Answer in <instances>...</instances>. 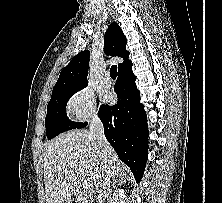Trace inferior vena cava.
<instances>
[{
	"label": "inferior vena cava",
	"instance_id": "obj_1",
	"mask_svg": "<svg viewBox=\"0 0 222 203\" xmlns=\"http://www.w3.org/2000/svg\"><path fill=\"white\" fill-rule=\"evenodd\" d=\"M90 134L94 138L97 148L100 151L101 156L104 160L109 161L111 155V146L108 143L105 135L103 123L101 122L98 116H93L90 122ZM111 171L114 170V166L111 164ZM111 179L107 178L100 186V190L98 193V201L99 203H103L105 197L111 192L110 188Z\"/></svg>",
	"mask_w": 222,
	"mask_h": 203
}]
</instances>
